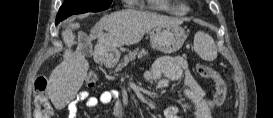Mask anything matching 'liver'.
I'll return each mask as SVG.
<instances>
[{
	"mask_svg": "<svg viewBox=\"0 0 273 118\" xmlns=\"http://www.w3.org/2000/svg\"><path fill=\"white\" fill-rule=\"evenodd\" d=\"M181 20L160 16L158 14L138 11L121 10L103 16L91 29L86 42L97 38L98 48L114 50L124 45L140 42L144 34L159 25H180ZM78 23H70L62 32V39L66 45L63 61L52 71L47 91L55 108L62 109L69 104L80 90L87 76L89 63L82 52V42H78L76 50H71L76 44L73 30L78 29ZM106 30L107 33H103Z\"/></svg>",
	"mask_w": 273,
	"mask_h": 118,
	"instance_id": "1",
	"label": "liver"
}]
</instances>
